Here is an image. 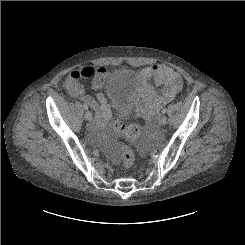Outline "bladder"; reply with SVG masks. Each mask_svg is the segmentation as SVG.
<instances>
[{
    "label": "bladder",
    "instance_id": "31cf9c89",
    "mask_svg": "<svg viewBox=\"0 0 245 245\" xmlns=\"http://www.w3.org/2000/svg\"><path fill=\"white\" fill-rule=\"evenodd\" d=\"M139 91L132 68L116 71L109 85L112 107L119 117L127 119L134 110V101Z\"/></svg>",
    "mask_w": 245,
    "mask_h": 245
}]
</instances>
